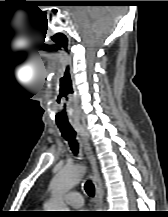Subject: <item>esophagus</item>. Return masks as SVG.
I'll return each mask as SVG.
<instances>
[{"mask_svg": "<svg viewBox=\"0 0 168 217\" xmlns=\"http://www.w3.org/2000/svg\"><path fill=\"white\" fill-rule=\"evenodd\" d=\"M75 130L79 133L82 139V144L85 150V153L87 155V158L90 162L92 173H93V181L95 186V203L98 209H101L103 207V185L101 176L98 170L97 166V159L93 153V150L91 148V145L88 140V135L85 131V129L81 125L75 126Z\"/></svg>", "mask_w": 168, "mask_h": 217, "instance_id": "obj_1", "label": "esophagus"}]
</instances>
